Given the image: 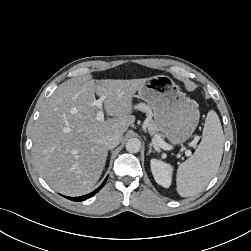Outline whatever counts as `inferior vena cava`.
<instances>
[{
  "mask_svg": "<svg viewBox=\"0 0 251 251\" xmlns=\"http://www.w3.org/2000/svg\"><path fill=\"white\" fill-rule=\"evenodd\" d=\"M120 143V137L118 135H109L104 139V145L108 149H113Z\"/></svg>",
  "mask_w": 251,
  "mask_h": 251,
  "instance_id": "1",
  "label": "inferior vena cava"
}]
</instances>
